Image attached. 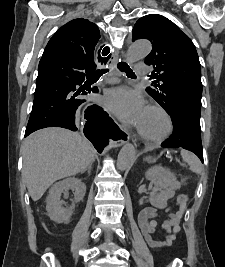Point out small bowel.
Returning <instances> with one entry per match:
<instances>
[{
	"label": "small bowel",
	"mask_w": 225,
	"mask_h": 267,
	"mask_svg": "<svg viewBox=\"0 0 225 267\" xmlns=\"http://www.w3.org/2000/svg\"><path fill=\"white\" fill-rule=\"evenodd\" d=\"M182 198H187V195H178L175 207L166 209L164 212L154 207H146L142 211L139 217V226L149 245L165 247L169 246L175 240L176 234L180 229L179 221L183 214V209L179 206ZM161 216H163V220L159 223L158 219ZM159 225L165 235L164 241H158L153 237Z\"/></svg>",
	"instance_id": "1"
}]
</instances>
